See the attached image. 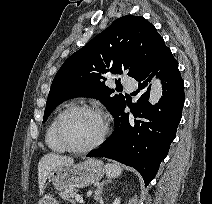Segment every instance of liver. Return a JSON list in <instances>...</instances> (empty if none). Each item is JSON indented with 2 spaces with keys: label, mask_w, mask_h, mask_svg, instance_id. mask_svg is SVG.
I'll return each mask as SVG.
<instances>
[{
  "label": "liver",
  "mask_w": 212,
  "mask_h": 204,
  "mask_svg": "<svg viewBox=\"0 0 212 204\" xmlns=\"http://www.w3.org/2000/svg\"><path fill=\"white\" fill-rule=\"evenodd\" d=\"M73 162L74 160L71 157L61 156L54 153L44 155L38 163V184L40 194L43 191L48 174L53 168Z\"/></svg>",
  "instance_id": "liver-1"
}]
</instances>
